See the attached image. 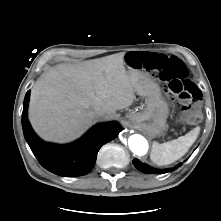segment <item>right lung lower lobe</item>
Returning <instances> with one entry per match:
<instances>
[{
	"instance_id": "right-lung-lower-lobe-1",
	"label": "right lung lower lobe",
	"mask_w": 221,
	"mask_h": 221,
	"mask_svg": "<svg viewBox=\"0 0 221 221\" xmlns=\"http://www.w3.org/2000/svg\"><path fill=\"white\" fill-rule=\"evenodd\" d=\"M29 98L30 91L25 95L22 113L25 139L39 163L57 175L75 177L87 174L93 168L101 146L116 138L122 131L117 122L102 123L71 144L46 143L34 133L27 118Z\"/></svg>"
}]
</instances>
